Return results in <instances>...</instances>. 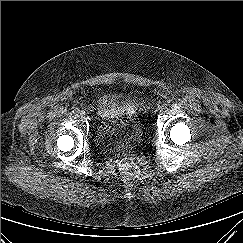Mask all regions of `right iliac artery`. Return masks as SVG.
Returning <instances> with one entry per match:
<instances>
[{
	"mask_svg": "<svg viewBox=\"0 0 243 243\" xmlns=\"http://www.w3.org/2000/svg\"><path fill=\"white\" fill-rule=\"evenodd\" d=\"M79 112H80V110H79L78 108H75V109L73 110V113L76 114V115H78Z\"/></svg>",
	"mask_w": 243,
	"mask_h": 243,
	"instance_id": "right-iliac-artery-1",
	"label": "right iliac artery"
}]
</instances>
